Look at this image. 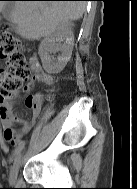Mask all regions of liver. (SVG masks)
Instances as JSON below:
<instances>
[{
    "instance_id": "obj_1",
    "label": "liver",
    "mask_w": 137,
    "mask_h": 189,
    "mask_svg": "<svg viewBox=\"0 0 137 189\" xmlns=\"http://www.w3.org/2000/svg\"><path fill=\"white\" fill-rule=\"evenodd\" d=\"M5 2H0V12ZM11 20L17 33L26 39H40L65 25L69 20L82 17L85 1H16Z\"/></svg>"
}]
</instances>
